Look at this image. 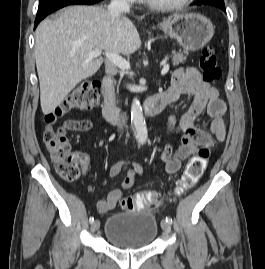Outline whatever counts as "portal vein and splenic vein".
<instances>
[{"label": "portal vein and splenic vein", "mask_w": 265, "mask_h": 269, "mask_svg": "<svg viewBox=\"0 0 265 269\" xmlns=\"http://www.w3.org/2000/svg\"><path fill=\"white\" fill-rule=\"evenodd\" d=\"M102 51H90L88 53L90 58L99 57L101 55ZM106 58L111 61L114 65H116L118 68L122 70H129L130 69V63L126 61L122 56L116 54V53H105ZM169 71V64H165L161 70V75L167 74Z\"/></svg>", "instance_id": "1"}]
</instances>
